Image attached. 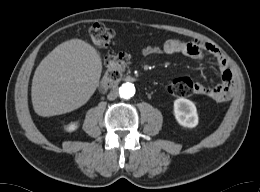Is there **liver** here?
Listing matches in <instances>:
<instances>
[{"instance_id":"liver-1","label":"liver","mask_w":260,"mask_h":192,"mask_svg":"<svg viewBox=\"0 0 260 192\" xmlns=\"http://www.w3.org/2000/svg\"><path fill=\"white\" fill-rule=\"evenodd\" d=\"M102 73L98 51L81 39L58 45L35 70L31 98L43 117L71 112L94 94Z\"/></svg>"}]
</instances>
